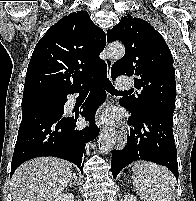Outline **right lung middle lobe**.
Here are the masks:
<instances>
[{
	"mask_svg": "<svg viewBox=\"0 0 196 201\" xmlns=\"http://www.w3.org/2000/svg\"><path fill=\"white\" fill-rule=\"evenodd\" d=\"M63 96L57 95H34L23 97L22 111L29 108L48 107L62 108Z\"/></svg>",
	"mask_w": 196,
	"mask_h": 201,
	"instance_id": "obj_1",
	"label": "right lung middle lobe"
}]
</instances>
